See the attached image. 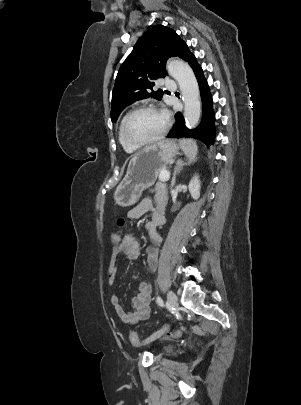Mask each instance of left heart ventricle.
<instances>
[{
  "label": "left heart ventricle",
  "mask_w": 301,
  "mask_h": 405,
  "mask_svg": "<svg viewBox=\"0 0 301 405\" xmlns=\"http://www.w3.org/2000/svg\"><path fill=\"white\" fill-rule=\"evenodd\" d=\"M164 127V117L155 111H142L135 114L128 123L129 136L137 141H145L158 135Z\"/></svg>",
  "instance_id": "left-heart-ventricle-1"
}]
</instances>
